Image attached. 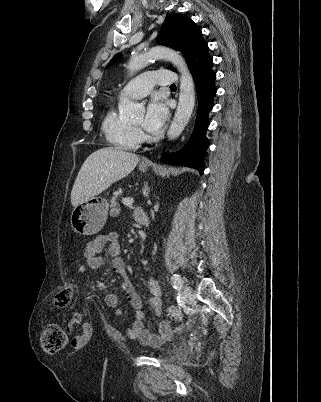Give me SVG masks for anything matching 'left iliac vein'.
Here are the masks:
<instances>
[{
  "label": "left iliac vein",
  "mask_w": 321,
  "mask_h": 402,
  "mask_svg": "<svg viewBox=\"0 0 321 402\" xmlns=\"http://www.w3.org/2000/svg\"><path fill=\"white\" fill-rule=\"evenodd\" d=\"M183 296L187 303L192 302L194 300V293L192 288H190L189 286H185L183 288Z\"/></svg>",
  "instance_id": "4c4485c4"
}]
</instances>
